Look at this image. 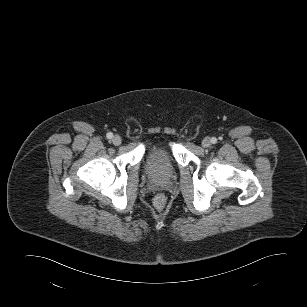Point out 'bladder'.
I'll use <instances>...</instances> for the list:
<instances>
[{
  "label": "bladder",
  "mask_w": 307,
  "mask_h": 307,
  "mask_svg": "<svg viewBox=\"0 0 307 307\" xmlns=\"http://www.w3.org/2000/svg\"><path fill=\"white\" fill-rule=\"evenodd\" d=\"M145 170L149 177L157 180H166L174 172L171 153L164 147L152 149L146 159Z\"/></svg>",
  "instance_id": "31cf9c89"
}]
</instances>
